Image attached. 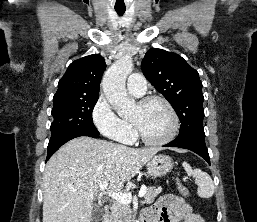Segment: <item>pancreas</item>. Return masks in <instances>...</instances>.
<instances>
[{"instance_id":"obj_1","label":"pancreas","mask_w":257,"mask_h":222,"mask_svg":"<svg viewBox=\"0 0 257 222\" xmlns=\"http://www.w3.org/2000/svg\"><path fill=\"white\" fill-rule=\"evenodd\" d=\"M161 192V188L147 187L144 195L145 203L150 204ZM132 209L129 204H123L115 201L111 207L108 222H133Z\"/></svg>"}]
</instances>
